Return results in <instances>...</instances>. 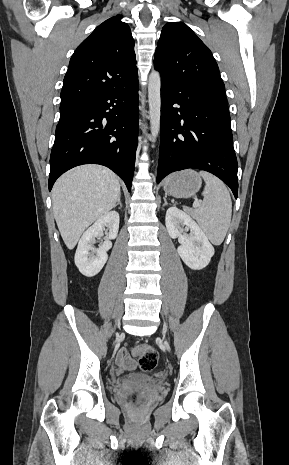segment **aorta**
Here are the masks:
<instances>
[{
  "instance_id": "762f6f07",
  "label": "aorta",
  "mask_w": 289,
  "mask_h": 465,
  "mask_svg": "<svg viewBox=\"0 0 289 465\" xmlns=\"http://www.w3.org/2000/svg\"><path fill=\"white\" fill-rule=\"evenodd\" d=\"M161 76L157 71H152L148 82L149 119L152 141L160 131L161 117Z\"/></svg>"
}]
</instances>
